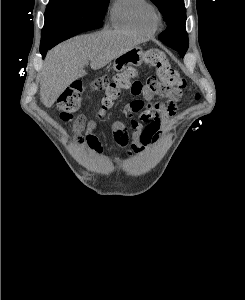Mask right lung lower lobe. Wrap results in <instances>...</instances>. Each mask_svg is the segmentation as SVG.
<instances>
[{"instance_id": "1", "label": "right lung lower lobe", "mask_w": 245, "mask_h": 300, "mask_svg": "<svg viewBox=\"0 0 245 300\" xmlns=\"http://www.w3.org/2000/svg\"><path fill=\"white\" fill-rule=\"evenodd\" d=\"M102 26V22H98V21H92V22H89L87 24H85L83 26V30L84 31H89V30H93V29H97V28H100ZM83 31V32H84ZM52 47L51 46H47V47H40V53L42 55V57L44 58L47 51L49 49H51Z\"/></svg>"}]
</instances>
